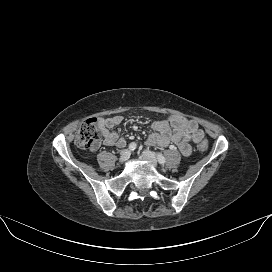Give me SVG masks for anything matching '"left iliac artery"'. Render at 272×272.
Returning a JSON list of instances; mask_svg holds the SVG:
<instances>
[{
    "instance_id": "44dca946",
    "label": "left iliac artery",
    "mask_w": 272,
    "mask_h": 272,
    "mask_svg": "<svg viewBox=\"0 0 272 272\" xmlns=\"http://www.w3.org/2000/svg\"><path fill=\"white\" fill-rule=\"evenodd\" d=\"M157 159L161 164H164L166 162L165 157L160 153L157 155Z\"/></svg>"
}]
</instances>
